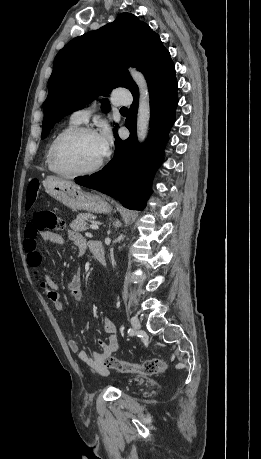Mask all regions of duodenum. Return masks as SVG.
Masks as SVG:
<instances>
[{"instance_id":"410a0bca","label":"duodenum","mask_w":261,"mask_h":459,"mask_svg":"<svg viewBox=\"0 0 261 459\" xmlns=\"http://www.w3.org/2000/svg\"><path fill=\"white\" fill-rule=\"evenodd\" d=\"M91 251L95 258L103 265H106V255H105V248L104 245L99 242L95 241L91 243Z\"/></svg>"}]
</instances>
